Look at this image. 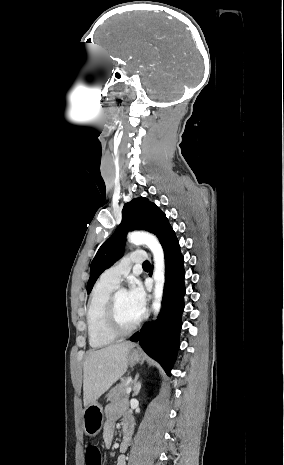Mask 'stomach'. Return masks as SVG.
<instances>
[{
	"label": "stomach",
	"instance_id": "1",
	"mask_svg": "<svg viewBox=\"0 0 284 465\" xmlns=\"http://www.w3.org/2000/svg\"><path fill=\"white\" fill-rule=\"evenodd\" d=\"M141 355L139 351H130L128 355V365L133 367L139 363ZM104 423V413L102 405L97 401L85 407L83 411V431L88 437H96L100 433Z\"/></svg>",
	"mask_w": 284,
	"mask_h": 465
}]
</instances>
